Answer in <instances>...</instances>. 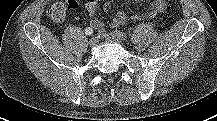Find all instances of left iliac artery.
<instances>
[{"label": "left iliac artery", "instance_id": "obj_1", "mask_svg": "<svg viewBox=\"0 0 217 121\" xmlns=\"http://www.w3.org/2000/svg\"><path fill=\"white\" fill-rule=\"evenodd\" d=\"M114 33L121 39V40H125L127 38V34L119 31V30H115Z\"/></svg>", "mask_w": 217, "mask_h": 121}]
</instances>
